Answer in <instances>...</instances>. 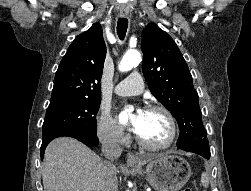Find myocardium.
I'll return each instance as SVG.
<instances>
[{
  "instance_id": "myocardium-1",
  "label": "myocardium",
  "mask_w": 251,
  "mask_h": 191,
  "mask_svg": "<svg viewBox=\"0 0 251 191\" xmlns=\"http://www.w3.org/2000/svg\"><path fill=\"white\" fill-rule=\"evenodd\" d=\"M147 111H159L162 112L170 125V137L169 140L161 145H152L150 143H148L147 141H145L138 133L136 134V140L137 143L144 149L146 150H150V151H162V150H167L169 148H171L177 140V136H178V128H177V123L175 120L174 115L172 114V112L167 109L164 106L161 105H151L147 108Z\"/></svg>"
}]
</instances>
